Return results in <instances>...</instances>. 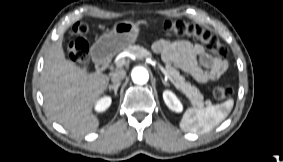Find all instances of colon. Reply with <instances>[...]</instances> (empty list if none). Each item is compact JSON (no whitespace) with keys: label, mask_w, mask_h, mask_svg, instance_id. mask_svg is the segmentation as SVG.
<instances>
[{"label":"colon","mask_w":283,"mask_h":162,"mask_svg":"<svg viewBox=\"0 0 283 162\" xmlns=\"http://www.w3.org/2000/svg\"><path fill=\"white\" fill-rule=\"evenodd\" d=\"M161 29L168 35L190 37L199 41L217 57H225L227 55L228 50L220 40L198 25L188 23L182 19L166 20L162 23ZM88 31V24L83 22L77 23L73 28V34L76 39L69 41L66 46L68 58L80 68H86L89 58L88 44L84 39ZM232 94L233 88L227 82L216 83L213 87V97L217 101H223Z\"/></svg>","instance_id":"1"}]
</instances>
